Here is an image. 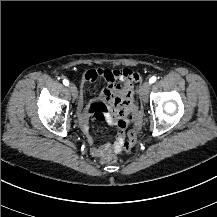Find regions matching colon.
Returning <instances> with one entry per match:
<instances>
[{"label": "colon", "instance_id": "colon-1", "mask_svg": "<svg viewBox=\"0 0 217 217\" xmlns=\"http://www.w3.org/2000/svg\"><path fill=\"white\" fill-rule=\"evenodd\" d=\"M138 79H139V74H138ZM133 89L135 91H139L141 89V86L139 84H135L133 86ZM135 132L133 130L129 131V141H127L121 149H123L126 152L131 151L132 147L134 146L136 142V135L134 134ZM106 161L109 164H114L117 161V158L114 155H109L106 158Z\"/></svg>", "mask_w": 217, "mask_h": 217}]
</instances>
